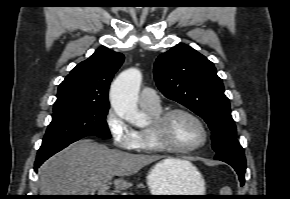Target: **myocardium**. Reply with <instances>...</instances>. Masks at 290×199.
Masks as SVG:
<instances>
[{
  "instance_id": "1",
  "label": "myocardium",
  "mask_w": 290,
  "mask_h": 199,
  "mask_svg": "<svg viewBox=\"0 0 290 199\" xmlns=\"http://www.w3.org/2000/svg\"><path fill=\"white\" fill-rule=\"evenodd\" d=\"M176 114L186 115L198 123L203 133L202 141L199 144L189 148H182L171 144L165 138L164 135L166 133L167 124L170 118ZM149 132L153 143L158 149L164 152L182 155L191 154L200 150L207 144L209 138V132L203 120L196 113L186 108H172L163 111L160 115L152 119L149 126Z\"/></svg>"
}]
</instances>
